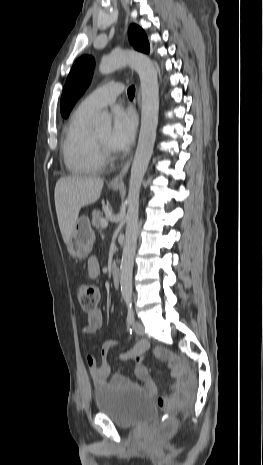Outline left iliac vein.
<instances>
[{"instance_id": "left-iliac-vein-1", "label": "left iliac vein", "mask_w": 263, "mask_h": 465, "mask_svg": "<svg viewBox=\"0 0 263 465\" xmlns=\"http://www.w3.org/2000/svg\"><path fill=\"white\" fill-rule=\"evenodd\" d=\"M133 329L136 334L143 336L144 335V326L140 321H136L133 324Z\"/></svg>"}]
</instances>
